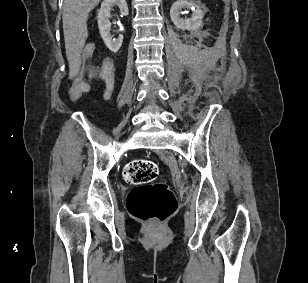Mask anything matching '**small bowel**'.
<instances>
[{"label":"small bowel","instance_id":"1","mask_svg":"<svg viewBox=\"0 0 308 283\" xmlns=\"http://www.w3.org/2000/svg\"><path fill=\"white\" fill-rule=\"evenodd\" d=\"M79 59H75L71 63L70 67V74L71 76L75 75L76 72V65L78 63ZM87 85L90 88L91 84L95 80H103L106 83L107 86V96H110L113 89H114V79H113V73H112V65L109 62H104L101 67H91L88 70L87 73Z\"/></svg>","mask_w":308,"mask_h":283}]
</instances>
